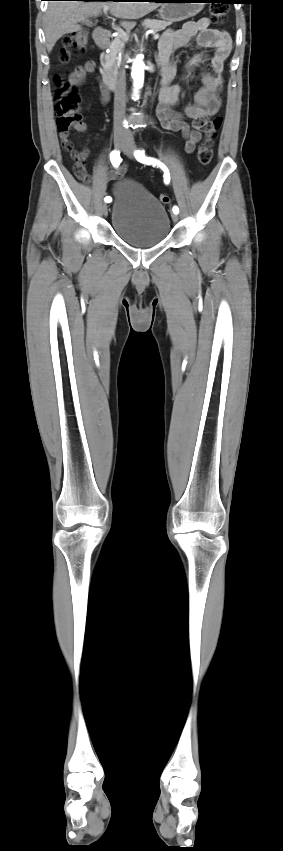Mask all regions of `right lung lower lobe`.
Returning <instances> with one entry per match:
<instances>
[{"label":"right lung lower lobe","mask_w":283,"mask_h":851,"mask_svg":"<svg viewBox=\"0 0 283 851\" xmlns=\"http://www.w3.org/2000/svg\"><path fill=\"white\" fill-rule=\"evenodd\" d=\"M82 1H95V0H82ZM102 1H125V0H102Z\"/></svg>","instance_id":"1"}]
</instances>
